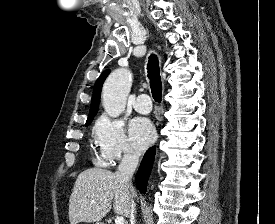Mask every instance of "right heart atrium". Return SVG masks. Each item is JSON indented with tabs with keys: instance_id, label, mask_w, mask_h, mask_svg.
<instances>
[{
	"instance_id": "d8ad5b80",
	"label": "right heart atrium",
	"mask_w": 275,
	"mask_h": 224,
	"mask_svg": "<svg viewBox=\"0 0 275 224\" xmlns=\"http://www.w3.org/2000/svg\"><path fill=\"white\" fill-rule=\"evenodd\" d=\"M94 140L99 152L110 163L134 159L138 155L128 142L122 120L100 117L94 128Z\"/></svg>"
}]
</instances>
